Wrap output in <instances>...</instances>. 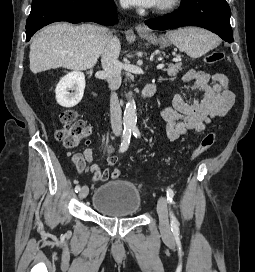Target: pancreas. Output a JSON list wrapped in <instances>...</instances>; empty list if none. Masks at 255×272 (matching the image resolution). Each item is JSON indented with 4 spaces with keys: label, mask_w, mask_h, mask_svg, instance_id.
<instances>
[{
    "label": "pancreas",
    "mask_w": 255,
    "mask_h": 272,
    "mask_svg": "<svg viewBox=\"0 0 255 272\" xmlns=\"http://www.w3.org/2000/svg\"><path fill=\"white\" fill-rule=\"evenodd\" d=\"M182 64L181 63H176V64H168V67L163 69V71L167 72L169 76H176L179 71L182 69Z\"/></svg>",
    "instance_id": "1"
}]
</instances>
